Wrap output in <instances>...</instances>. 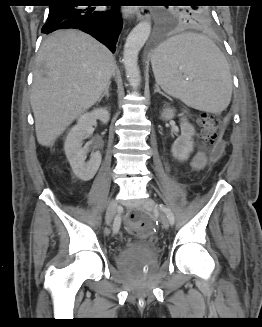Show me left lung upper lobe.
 <instances>
[{"label":"left lung upper lobe","instance_id":"5c2ea615","mask_svg":"<svg viewBox=\"0 0 262 327\" xmlns=\"http://www.w3.org/2000/svg\"><path fill=\"white\" fill-rule=\"evenodd\" d=\"M179 3H189L191 6L160 10V27L167 29L176 24L183 25H209L212 22L211 12L208 6H198L196 4L204 3V0H178ZM168 8V6H166Z\"/></svg>","mask_w":262,"mask_h":327}]
</instances>
